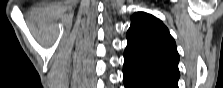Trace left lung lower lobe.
I'll return each instance as SVG.
<instances>
[{"instance_id":"1","label":"left lung lower lobe","mask_w":223,"mask_h":88,"mask_svg":"<svg viewBox=\"0 0 223 88\" xmlns=\"http://www.w3.org/2000/svg\"><path fill=\"white\" fill-rule=\"evenodd\" d=\"M125 88H178L177 81L124 65Z\"/></svg>"}]
</instances>
